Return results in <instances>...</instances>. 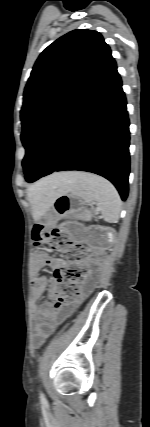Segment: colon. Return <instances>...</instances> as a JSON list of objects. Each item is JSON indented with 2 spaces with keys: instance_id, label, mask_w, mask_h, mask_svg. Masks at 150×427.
I'll use <instances>...</instances> for the list:
<instances>
[{
  "instance_id": "1",
  "label": "colon",
  "mask_w": 150,
  "mask_h": 427,
  "mask_svg": "<svg viewBox=\"0 0 150 427\" xmlns=\"http://www.w3.org/2000/svg\"><path fill=\"white\" fill-rule=\"evenodd\" d=\"M32 237L36 245L44 244L50 249L62 251L68 259L67 265L54 271L55 309H58L76 298L79 286L86 278L84 256L87 251L81 245L73 244L68 233L61 229L48 231L42 225H36Z\"/></svg>"
}]
</instances>
